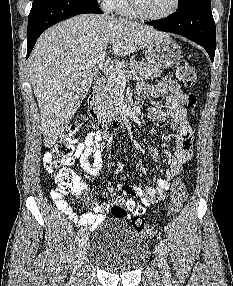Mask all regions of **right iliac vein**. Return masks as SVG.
I'll list each match as a JSON object with an SVG mask.
<instances>
[{
    "label": "right iliac vein",
    "instance_id": "obj_1",
    "mask_svg": "<svg viewBox=\"0 0 233 286\" xmlns=\"http://www.w3.org/2000/svg\"><path fill=\"white\" fill-rule=\"evenodd\" d=\"M89 243L88 235L84 234L79 241L77 267H80L85 260L86 251Z\"/></svg>",
    "mask_w": 233,
    "mask_h": 286
}]
</instances>
